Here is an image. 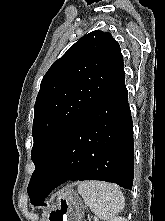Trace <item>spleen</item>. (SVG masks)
Wrapping results in <instances>:
<instances>
[{
  "label": "spleen",
  "mask_w": 165,
  "mask_h": 221,
  "mask_svg": "<svg viewBox=\"0 0 165 221\" xmlns=\"http://www.w3.org/2000/svg\"><path fill=\"white\" fill-rule=\"evenodd\" d=\"M77 190L86 206L101 220L113 218L124 208L125 199L117 185L84 181L78 185Z\"/></svg>",
  "instance_id": "spleen-1"
}]
</instances>
